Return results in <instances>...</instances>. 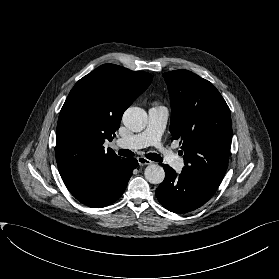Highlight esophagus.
<instances>
[{"instance_id": "34e87169", "label": "esophagus", "mask_w": 279, "mask_h": 279, "mask_svg": "<svg viewBox=\"0 0 279 279\" xmlns=\"http://www.w3.org/2000/svg\"><path fill=\"white\" fill-rule=\"evenodd\" d=\"M137 160H138V163H139L141 166L151 164V161L148 160V159H146L145 157H138Z\"/></svg>"}]
</instances>
